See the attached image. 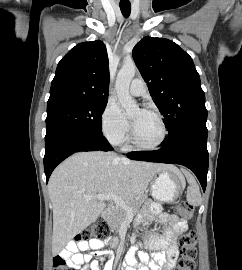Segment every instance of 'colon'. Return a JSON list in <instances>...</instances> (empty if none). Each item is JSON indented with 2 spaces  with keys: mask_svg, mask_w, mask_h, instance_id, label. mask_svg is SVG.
<instances>
[{
  "mask_svg": "<svg viewBox=\"0 0 242 270\" xmlns=\"http://www.w3.org/2000/svg\"><path fill=\"white\" fill-rule=\"evenodd\" d=\"M175 214L183 219L192 217V206L188 202H180L175 209ZM110 228L105 219H98L91 224L82 234L76 237L75 242L107 238ZM197 236L194 231H189L180 238L181 261L178 270H196ZM55 270H68L65 259L57 255L53 259Z\"/></svg>",
  "mask_w": 242,
  "mask_h": 270,
  "instance_id": "5ec220e1",
  "label": "colon"
}]
</instances>
